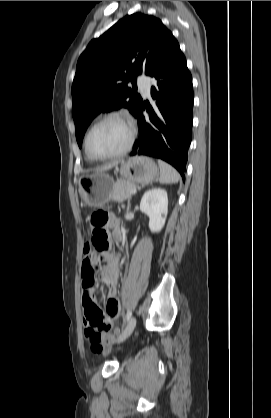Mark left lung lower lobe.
Segmentation results:
<instances>
[{
  "instance_id": "obj_1",
  "label": "left lung lower lobe",
  "mask_w": 271,
  "mask_h": 418,
  "mask_svg": "<svg viewBox=\"0 0 271 418\" xmlns=\"http://www.w3.org/2000/svg\"><path fill=\"white\" fill-rule=\"evenodd\" d=\"M150 76L156 80L151 96L157 108L141 104L135 117L140 134L131 155H148L173 165L185 180L188 149L192 139L193 85L192 76L177 40L172 37ZM150 112V121L143 109Z\"/></svg>"
}]
</instances>
